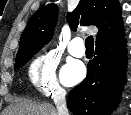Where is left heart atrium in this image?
<instances>
[{"label":"left heart atrium","instance_id":"39dd6f15","mask_svg":"<svg viewBox=\"0 0 131 115\" xmlns=\"http://www.w3.org/2000/svg\"><path fill=\"white\" fill-rule=\"evenodd\" d=\"M85 71L81 64L70 63L62 71V80L66 85H73L81 81Z\"/></svg>","mask_w":131,"mask_h":115}]
</instances>
